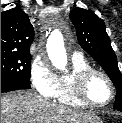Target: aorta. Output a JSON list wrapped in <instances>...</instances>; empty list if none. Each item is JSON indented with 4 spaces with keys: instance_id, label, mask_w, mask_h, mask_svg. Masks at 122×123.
<instances>
[{
    "instance_id": "1",
    "label": "aorta",
    "mask_w": 122,
    "mask_h": 123,
    "mask_svg": "<svg viewBox=\"0 0 122 123\" xmlns=\"http://www.w3.org/2000/svg\"><path fill=\"white\" fill-rule=\"evenodd\" d=\"M47 53L53 66L59 70H65L67 55L64 48L63 37L59 32H54L47 42Z\"/></svg>"
}]
</instances>
